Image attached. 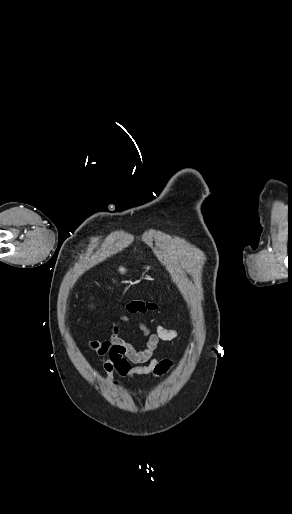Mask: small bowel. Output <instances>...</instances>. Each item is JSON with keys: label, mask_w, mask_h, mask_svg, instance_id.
<instances>
[{"label": "small bowel", "mask_w": 292, "mask_h": 514, "mask_svg": "<svg viewBox=\"0 0 292 514\" xmlns=\"http://www.w3.org/2000/svg\"><path fill=\"white\" fill-rule=\"evenodd\" d=\"M130 322L126 315L113 321L110 331L97 330L103 340H89L88 347L98 355L104 356L102 369L106 374L105 381L113 386H120L119 380L114 378V372L125 379H134L137 376H153L155 378L166 375L173 367V361L168 358L154 357L161 341H172L179 336V331L158 325L151 332L145 323L136 321V325L146 336L147 341L143 349L137 350L131 343L120 337L121 326ZM95 374L96 371L93 370Z\"/></svg>", "instance_id": "c3829d8e"}]
</instances>
